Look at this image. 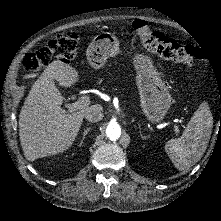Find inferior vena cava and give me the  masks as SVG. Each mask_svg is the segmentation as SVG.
Instances as JSON below:
<instances>
[{
	"label": "inferior vena cava",
	"mask_w": 221,
	"mask_h": 221,
	"mask_svg": "<svg viewBox=\"0 0 221 221\" xmlns=\"http://www.w3.org/2000/svg\"><path fill=\"white\" fill-rule=\"evenodd\" d=\"M103 117L104 114L102 110H97V109L91 110L84 115V118L91 123L99 122L103 119Z\"/></svg>",
	"instance_id": "obj_1"
}]
</instances>
